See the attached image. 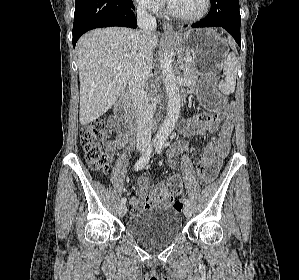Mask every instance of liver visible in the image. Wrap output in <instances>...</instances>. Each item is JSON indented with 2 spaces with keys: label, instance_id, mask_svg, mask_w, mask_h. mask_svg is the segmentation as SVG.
<instances>
[{
  "label": "liver",
  "instance_id": "1",
  "mask_svg": "<svg viewBox=\"0 0 299 280\" xmlns=\"http://www.w3.org/2000/svg\"><path fill=\"white\" fill-rule=\"evenodd\" d=\"M158 41V35L152 33V51ZM76 53L80 80L79 120L86 125L108 111L129 82L138 54V31L123 27L89 31L79 39Z\"/></svg>",
  "mask_w": 299,
  "mask_h": 280
}]
</instances>
